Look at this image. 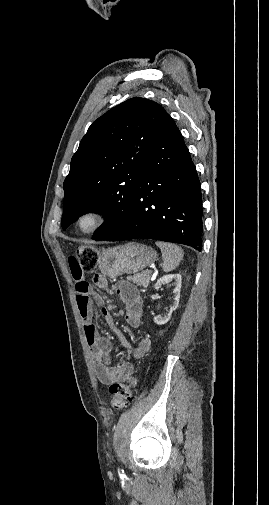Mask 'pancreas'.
Here are the masks:
<instances>
[{"label":"pancreas","instance_id":"pancreas-1","mask_svg":"<svg viewBox=\"0 0 269 505\" xmlns=\"http://www.w3.org/2000/svg\"><path fill=\"white\" fill-rule=\"evenodd\" d=\"M150 277L151 273H149V271H144L142 273L135 274L134 276L129 277L128 279L136 283L138 286L147 288L150 283Z\"/></svg>","mask_w":269,"mask_h":505}]
</instances>
